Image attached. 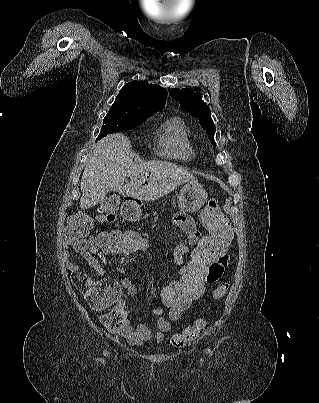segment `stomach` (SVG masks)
<instances>
[{
	"instance_id": "stomach-1",
	"label": "stomach",
	"mask_w": 319,
	"mask_h": 403,
	"mask_svg": "<svg viewBox=\"0 0 319 403\" xmlns=\"http://www.w3.org/2000/svg\"><path fill=\"white\" fill-rule=\"evenodd\" d=\"M207 196V192L201 184L198 182H187L179 192L178 207L184 212H196L204 205ZM140 215L139 211L134 215L135 223L141 222Z\"/></svg>"
}]
</instances>
